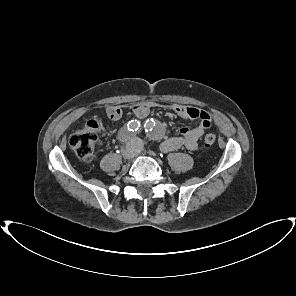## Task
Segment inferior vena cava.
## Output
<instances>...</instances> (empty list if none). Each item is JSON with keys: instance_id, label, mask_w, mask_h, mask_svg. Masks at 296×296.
Segmentation results:
<instances>
[{"instance_id": "inferior-vena-cava-1", "label": "inferior vena cava", "mask_w": 296, "mask_h": 296, "mask_svg": "<svg viewBox=\"0 0 296 296\" xmlns=\"http://www.w3.org/2000/svg\"><path fill=\"white\" fill-rule=\"evenodd\" d=\"M129 144L135 149V153H138L140 151V148L142 147V140L138 137H133L130 140Z\"/></svg>"}]
</instances>
